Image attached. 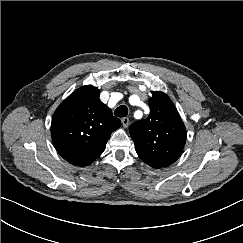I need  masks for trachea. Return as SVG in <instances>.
Wrapping results in <instances>:
<instances>
[{
  "label": "trachea",
  "mask_w": 243,
  "mask_h": 243,
  "mask_svg": "<svg viewBox=\"0 0 243 243\" xmlns=\"http://www.w3.org/2000/svg\"><path fill=\"white\" fill-rule=\"evenodd\" d=\"M114 115L117 117H125L128 115V108L125 105H121L115 109Z\"/></svg>",
  "instance_id": "trachea-1"
}]
</instances>
